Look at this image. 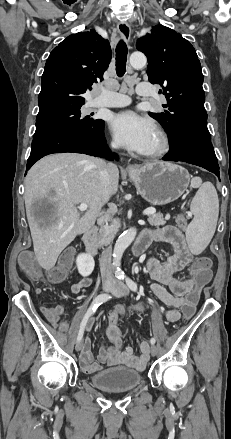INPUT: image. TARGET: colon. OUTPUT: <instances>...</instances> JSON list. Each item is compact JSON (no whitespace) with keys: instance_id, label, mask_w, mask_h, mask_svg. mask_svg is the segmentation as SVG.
<instances>
[{"instance_id":"colon-1","label":"colon","mask_w":231,"mask_h":439,"mask_svg":"<svg viewBox=\"0 0 231 439\" xmlns=\"http://www.w3.org/2000/svg\"><path fill=\"white\" fill-rule=\"evenodd\" d=\"M188 224V219L185 215L177 218V225L184 229ZM74 252L72 249L65 250L60 256L56 265L48 272V279L52 283H60L64 281L73 264ZM21 268L31 277L38 278L40 270L30 253H22L19 259ZM212 262L208 257H198L192 264L191 274L192 280L195 282L194 287L188 289L182 303L179 305L180 315L185 321H192L196 315V306L199 301V296L205 292V287L211 285L213 272L211 270ZM52 308H45L43 314L44 319L49 320L52 317ZM118 317V313L115 312Z\"/></svg>"}]
</instances>
